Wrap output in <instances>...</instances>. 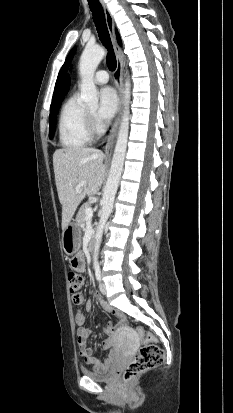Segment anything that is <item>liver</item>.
<instances>
[{"label": "liver", "mask_w": 233, "mask_h": 413, "mask_svg": "<svg viewBox=\"0 0 233 413\" xmlns=\"http://www.w3.org/2000/svg\"><path fill=\"white\" fill-rule=\"evenodd\" d=\"M104 154L95 148H65L53 154V167L58 197L62 205V229L71 222L73 215L86 195H93L101 187L105 165ZM82 181L87 183L76 191Z\"/></svg>", "instance_id": "1"}]
</instances>
